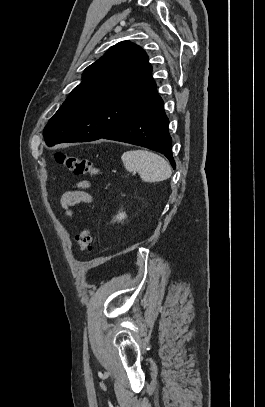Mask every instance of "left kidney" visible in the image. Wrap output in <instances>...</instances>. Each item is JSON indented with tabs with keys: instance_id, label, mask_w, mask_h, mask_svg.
Returning a JSON list of instances; mask_svg holds the SVG:
<instances>
[{
	"instance_id": "obj_1",
	"label": "left kidney",
	"mask_w": 265,
	"mask_h": 407,
	"mask_svg": "<svg viewBox=\"0 0 265 407\" xmlns=\"http://www.w3.org/2000/svg\"><path fill=\"white\" fill-rule=\"evenodd\" d=\"M126 217V214L125 213H120L118 216H117V220L118 221H122L124 218Z\"/></svg>"
}]
</instances>
